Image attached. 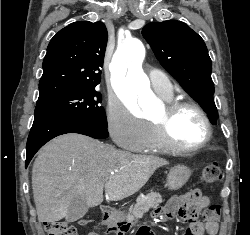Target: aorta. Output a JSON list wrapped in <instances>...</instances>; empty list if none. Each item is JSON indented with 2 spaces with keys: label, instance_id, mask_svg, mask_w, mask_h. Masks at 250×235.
I'll return each mask as SVG.
<instances>
[{
  "label": "aorta",
  "instance_id": "obj_1",
  "mask_svg": "<svg viewBox=\"0 0 250 235\" xmlns=\"http://www.w3.org/2000/svg\"><path fill=\"white\" fill-rule=\"evenodd\" d=\"M145 57V47L139 40L126 42L115 54L110 65L111 80L116 93L128 107L141 105L144 114L155 103V97L149 89V79L141 65Z\"/></svg>",
  "mask_w": 250,
  "mask_h": 235
}]
</instances>
